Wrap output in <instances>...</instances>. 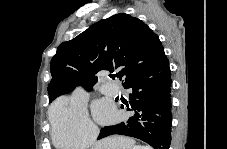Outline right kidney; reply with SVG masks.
<instances>
[{"label": "right kidney", "instance_id": "ca27d5eb", "mask_svg": "<svg viewBox=\"0 0 227 149\" xmlns=\"http://www.w3.org/2000/svg\"><path fill=\"white\" fill-rule=\"evenodd\" d=\"M132 149H148V147L137 145V146L133 147Z\"/></svg>", "mask_w": 227, "mask_h": 149}]
</instances>
